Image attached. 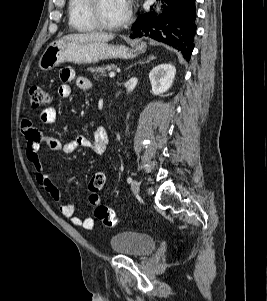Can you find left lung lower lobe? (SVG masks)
<instances>
[{"mask_svg": "<svg viewBox=\"0 0 267 301\" xmlns=\"http://www.w3.org/2000/svg\"><path fill=\"white\" fill-rule=\"evenodd\" d=\"M160 16L140 15L132 26L131 38L150 37L177 48L183 57L190 59L193 37L196 33L195 0H164Z\"/></svg>", "mask_w": 267, "mask_h": 301, "instance_id": "left-lung-lower-lobe-1", "label": "left lung lower lobe"}]
</instances>
